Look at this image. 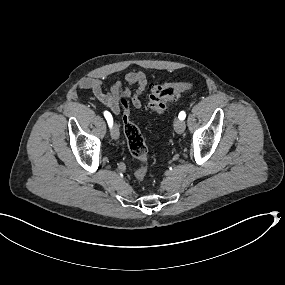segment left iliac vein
<instances>
[{"label": "left iliac vein", "instance_id": "left-iliac-vein-1", "mask_svg": "<svg viewBox=\"0 0 285 285\" xmlns=\"http://www.w3.org/2000/svg\"><path fill=\"white\" fill-rule=\"evenodd\" d=\"M186 125L183 120L175 119L174 120V129L177 133H183L185 131Z\"/></svg>", "mask_w": 285, "mask_h": 285}]
</instances>
